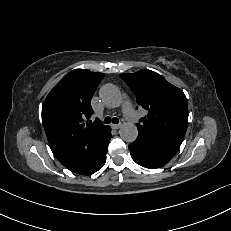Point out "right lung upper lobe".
<instances>
[{
	"mask_svg": "<svg viewBox=\"0 0 231 231\" xmlns=\"http://www.w3.org/2000/svg\"><path fill=\"white\" fill-rule=\"evenodd\" d=\"M105 74L76 69L66 74L51 90L42 107L48 142L63 164H72L85 140L107 126L89 119L94 113L91 98Z\"/></svg>",
	"mask_w": 231,
	"mask_h": 231,
	"instance_id": "cb5924a9",
	"label": "right lung upper lobe"
}]
</instances>
